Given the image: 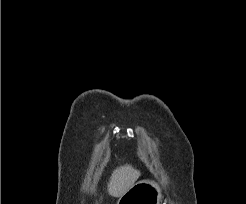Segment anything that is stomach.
Wrapping results in <instances>:
<instances>
[{
  "label": "stomach",
  "instance_id": "0dacf381",
  "mask_svg": "<svg viewBox=\"0 0 246 204\" xmlns=\"http://www.w3.org/2000/svg\"><path fill=\"white\" fill-rule=\"evenodd\" d=\"M162 192L160 186L151 180H143L135 183L117 204H160Z\"/></svg>",
  "mask_w": 246,
  "mask_h": 204
}]
</instances>
